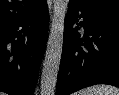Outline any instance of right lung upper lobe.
Returning <instances> with one entry per match:
<instances>
[{"mask_svg": "<svg viewBox=\"0 0 119 95\" xmlns=\"http://www.w3.org/2000/svg\"><path fill=\"white\" fill-rule=\"evenodd\" d=\"M45 0H0V26L36 10Z\"/></svg>", "mask_w": 119, "mask_h": 95, "instance_id": "1", "label": "right lung upper lobe"}]
</instances>
